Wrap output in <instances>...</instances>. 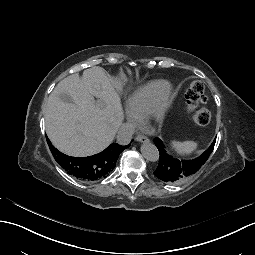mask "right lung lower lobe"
<instances>
[{"label":"right lung lower lobe","instance_id":"1","mask_svg":"<svg viewBox=\"0 0 255 255\" xmlns=\"http://www.w3.org/2000/svg\"><path fill=\"white\" fill-rule=\"evenodd\" d=\"M100 164L97 160H93L91 155H86L83 161V177L86 180H91L94 177V172L99 171Z\"/></svg>","mask_w":255,"mask_h":255}]
</instances>
